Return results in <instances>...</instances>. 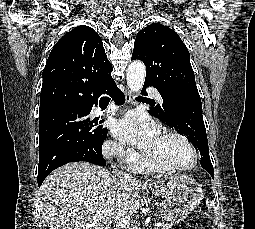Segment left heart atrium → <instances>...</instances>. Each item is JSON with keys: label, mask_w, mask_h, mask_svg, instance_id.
<instances>
[{"label": "left heart atrium", "mask_w": 255, "mask_h": 229, "mask_svg": "<svg viewBox=\"0 0 255 229\" xmlns=\"http://www.w3.org/2000/svg\"><path fill=\"white\" fill-rule=\"evenodd\" d=\"M111 131L121 142L140 148L144 152L151 149L161 136L154 122L135 113H128L122 118L115 119Z\"/></svg>", "instance_id": "left-heart-atrium-1"}]
</instances>
